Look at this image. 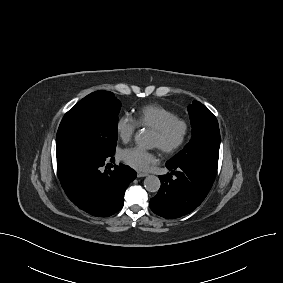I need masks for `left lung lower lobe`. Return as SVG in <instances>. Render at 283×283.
<instances>
[{
    "label": "left lung lower lobe",
    "instance_id": "1",
    "mask_svg": "<svg viewBox=\"0 0 283 283\" xmlns=\"http://www.w3.org/2000/svg\"><path fill=\"white\" fill-rule=\"evenodd\" d=\"M171 171L159 176L161 187L158 194L151 198L149 206L157 215L167 218H179L198 207L209 190L215 176L206 168L197 164L166 163ZM175 178H172V175Z\"/></svg>",
    "mask_w": 283,
    "mask_h": 283
}]
</instances>
